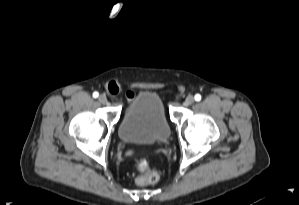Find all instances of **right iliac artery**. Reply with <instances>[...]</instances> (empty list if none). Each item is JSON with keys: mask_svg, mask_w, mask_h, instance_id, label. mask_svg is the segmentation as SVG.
Here are the masks:
<instances>
[{"mask_svg": "<svg viewBox=\"0 0 299 205\" xmlns=\"http://www.w3.org/2000/svg\"><path fill=\"white\" fill-rule=\"evenodd\" d=\"M98 95H99L98 92H94V93H93V97H94V98H97Z\"/></svg>", "mask_w": 299, "mask_h": 205, "instance_id": "obj_1", "label": "right iliac artery"}]
</instances>
